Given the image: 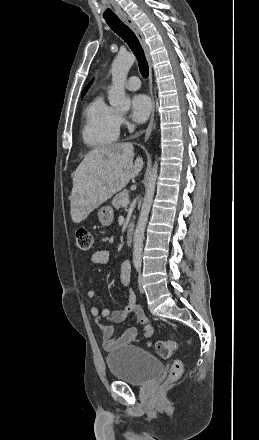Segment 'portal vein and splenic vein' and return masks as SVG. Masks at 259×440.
<instances>
[{"label": "portal vein and splenic vein", "mask_w": 259, "mask_h": 440, "mask_svg": "<svg viewBox=\"0 0 259 440\" xmlns=\"http://www.w3.org/2000/svg\"><path fill=\"white\" fill-rule=\"evenodd\" d=\"M129 204V200L128 199H124L122 201V206H127Z\"/></svg>", "instance_id": "portal-vein-and-splenic-vein-1"}]
</instances>
